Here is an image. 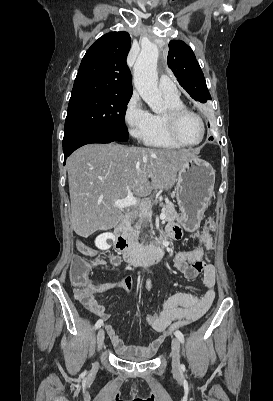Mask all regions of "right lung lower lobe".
<instances>
[{"mask_svg":"<svg viewBox=\"0 0 273 401\" xmlns=\"http://www.w3.org/2000/svg\"><path fill=\"white\" fill-rule=\"evenodd\" d=\"M119 142L116 139L92 131H75L64 135L63 139V152H64V164L66 163V158L75 151L77 148L90 144V143H110Z\"/></svg>","mask_w":273,"mask_h":401,"instance_id":"98d812e1","label":"right lung lower lobe"}]
</instances>
